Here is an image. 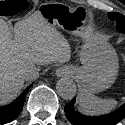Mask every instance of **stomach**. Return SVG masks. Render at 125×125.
I'll return each mask as SVG.
<instances>
[{
    "instance_id": "stomach-1",
    "label": "stomach",
    "mask_w": 125,
    "mask_h": 125,
    "mask_svg": "<svg viewBox=\"0 0 125 125\" xmlns=\"http://www.w3.org/2000/svg\"><path fill=\"white\" fill-rule=\"evenodd\" d=\"M41 15L45 20L84 41L80 51L81 68L75 69V77L81 90L98 93L108 89L118 75V57L114 48L101 35L91 30L89 13L83 7L52 8L41 7Z\"/></svg>"
}]
</instances>
